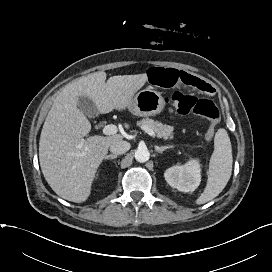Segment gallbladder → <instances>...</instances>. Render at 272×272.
I'll return each instance as SVG.
<instances>
[{
  "mask_svg": "<svg viewBox=\"0 0 272 272\" xmlns=\"http://www.w3.org/2000/svg\"><path fill=\"white\" fill-rule=\"evenodd\" d=\"M78 108L89 117H94L98 113L94 102L85 96L79 97Z\"/></svg>",
  "mask_w": 272,
  "mask_h": 272,
  "instance_id": "1",
  "label": "gallbladder"
}]
</instances>
